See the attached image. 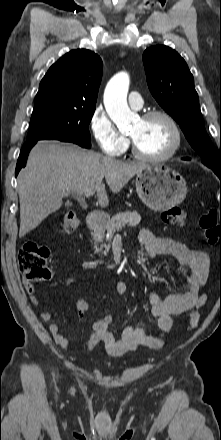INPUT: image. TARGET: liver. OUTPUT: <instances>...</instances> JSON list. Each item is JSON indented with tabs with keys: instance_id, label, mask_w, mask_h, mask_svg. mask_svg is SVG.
Instances as JSON below:
<instances>
[{
	"instance_id": "6515ba94",
	"label": "liver",
	"mask_w": 221,
	"mask_h": 440,
	"mask_svg": "<svg viewBox=\"0 0 221 440\" xmlns=\"http://www.w3.org/2000/svg\"><path fill=\"white\" fill-rule=\"evenodd\" d=\"M145 163H127L110 156L57 141H41L29 153L27 165L18 175L20 201L19 237L35 229L62 206V199L75 193L96 192L99 205L109 199L106 184L118 193Z\"/></svg>"
}]
</instances>
